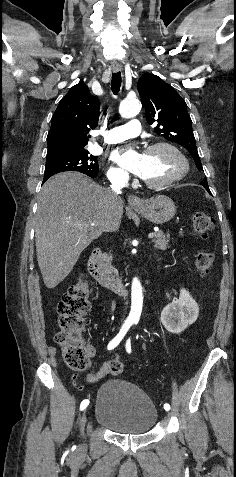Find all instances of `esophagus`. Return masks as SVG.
<instances>
[{"label":"esophagus","instance_id":"obj_1","mask_svg":"<svg viewBox=\"0 0 236 477\" xmlns=\"http://www.w3.org/2000/svg\"><path fill=\"white\" fill-rule=\"evenodd\" d=\"M111 69L113 72H118L120 70V66L118 64H112ZM128 203L132 208L135 209L141 208L143 205L142 199L136 195H130L128 197Z\"/></svg>","mask_w":236,"mask_h":477}]
</instances>
